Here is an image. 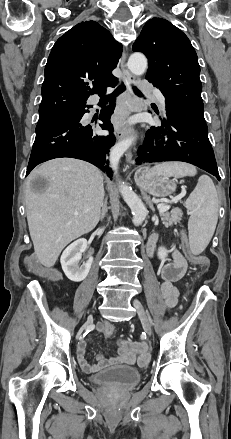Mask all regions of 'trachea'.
Listing matches in <instances>:
<instances>
[{
    "label": "trachea",
    "instance_id": "1",
    "mask_svg": "<svg viewBox=\"0 0 231 439\" xmlns=\"http://www.w3.org/2000/svg\"><path fill=\"white\" fill-rule=\"evenodd\" d=\"M133 90L135 94H137L138 96H142V93L135 86H133Z\"/></svg>",
    "mask_w": 231,
    "mask_h": 439
}]
</instances>
